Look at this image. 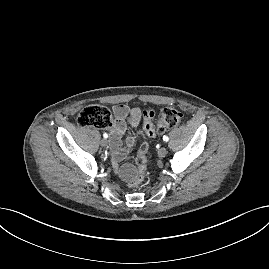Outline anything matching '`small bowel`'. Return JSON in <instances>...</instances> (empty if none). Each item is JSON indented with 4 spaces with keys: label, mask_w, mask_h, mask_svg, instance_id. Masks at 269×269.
Returning a JSON list of instances; mask_svg holds the SVG:
<instances>
[{
    "label": "small bowel",
    "mask_w": 269,
    "mask_h": 269,
    "mask_svg": "<svg viewBox=\"0 0 269 269\" xmlns=\"http://www.w3.org/2000/svg\"><path fill=\"white\" fill-rule=\"evenodd\" d=\"M114 121L110 127V150L112 153V166L118 171L121 178L130 181L135 169L131 165H125L119 169V163L123 161L129 150L135 145V138H126V147L122 146V136L126 131L127 124L137 127L140 123L142 112L137 107H129L124 104H117L113 107Z\"/></svg>",
    "instance_id": "c3829d8e"
}]
</instances>
